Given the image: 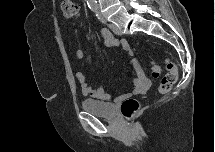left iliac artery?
I'll return each instance as SVG.
<instances>
[{
    "label": "left iliac artery",
    "mask_w": 215,
    "mask_h": 152,
    "mask_svg": "<svg viewBox=\"0 0 215 152\" xmlns=\"http://www.w3.org/2000/svg\"><path fill=\"white\" fill-rule=\"evenodd\" d=\"M96 16L102 23H106V21L104 20V18L101 16V14L98 11H96Z\"/></svg>",
    "instance_id": "44dca946"
}]
</instances>
